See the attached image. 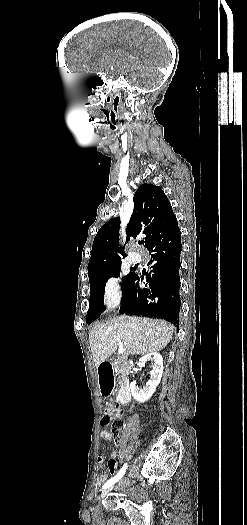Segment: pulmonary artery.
I'll return each instance as SVG.
<instances>
[{
  "instance_id": "e3ab8cb5",
  "label": "pulmonary artery",
  "mask_w": 247,
  "mask_h": 525,
  "mask_svg": "<svg viewBox=\"0 0 247 525\" xmlns=\"http://www.w3.org/2000/svg\"><path fill=\"white\" fill-rule=\"evenodd\" d=\"M129 261H141V254L139 252V248L136 249L135 252L132 253V251H129Z\"/></svg>"
}]
</instances>
